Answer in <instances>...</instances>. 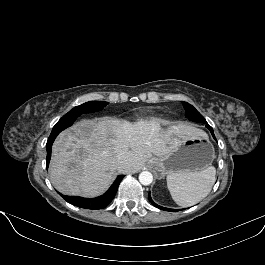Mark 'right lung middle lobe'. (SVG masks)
I'll use <instances>...</instances> for the list:
<instances>
[{
  "instance_id": "1",
  "label": "right lung middle lobe",
  "mask_w": 265,
  "mask_h": 265,
  "mask_svg": "<svg viewBox=\"0 0 265 265\" xmlns=\"http://www.w3.org/2000/svg\"><path fill=\"white\" fill-rule=\"evenodd\" d=\"M108 102L104 101H89L82 105L74 107L72 110H70L67 114H65L59 121L58 125L63 123H68V121L78 118L81 114L85 113H92L102 110L106 105H108Z\"/></svg>"
}]
</instances>
